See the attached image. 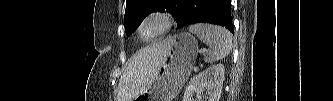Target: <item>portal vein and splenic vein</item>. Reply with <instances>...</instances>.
<instances>
[{
    "instance_id": "1",
    "label": "portal vein and splenic vein",
    "mask_w": 333,
    "mask_h": 101,
    "mask_svg": "<svg viewBox=\"0 0 333 101\" xmlns=\"http://www.w3.org/2000/svg\"><path fill=\"white\" fill-rule=\"evenodd\" d=\"M201 53H205V50H201ZM194 71H197V68H193Z\"/></svg>"
}]
</instances>
